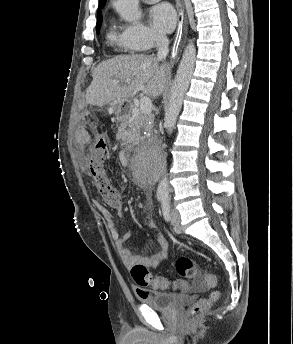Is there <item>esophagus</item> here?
Instances as JSON below:
<instances>
[{
  "label": "esophagus",
  "instance_id": "34e87169",
  "mask_svg": "<svg viewBox=\"0 0 293 344\" xmlns=\"http://www.w3.org/2000/svg\"><path fill=\"white\" fill-rule=\"evenodd\" d=\"M176 8H177V12H178V29H177L175 41H174V44L172 47V55H171L172 60H174L176 55H177V50H178L180 37H181L180 27H181L183 21L185 22V11H184V8L182 6L181 0H176Z\"/></svg>",
  "mask_w": 293,
  "mask_h": 344
}]
</instances>
